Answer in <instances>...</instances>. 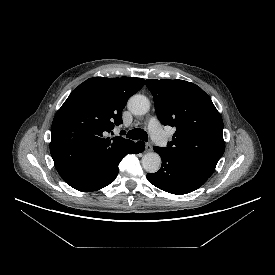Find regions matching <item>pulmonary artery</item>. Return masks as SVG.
I'll return each mask as SVG.
<instances>
[{
	"label": "pulmonary artery",
	"mask_w": 275,
	"mask_h": 275,
	"mask_svg": "<svg viewBox=\"0 0 275 275\" xmlns=\"http://www.w3.org/2000/svg\"><path fill=\"white\" fill-rule=\"evenodd\" d=\"M148 128L152 139L159 145H165L166 138L162 131L159 121L156 118H152L148 123Z\"/></svg>",
	"instance_id": "e3ab8cb5"
}]
</instances>
